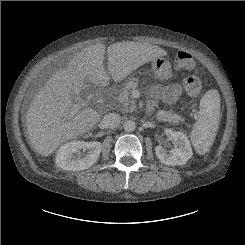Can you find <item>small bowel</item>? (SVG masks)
Returning a JSON list of instances; mask_svg holds the SVG:
<instances>
[{
    "instance_id": "obj_1",
    "label": "small bowel",
    "mask_w": 245,
    "mask_h": 245,
    "mask_svg": "<svg viewBox=\"0 0 245 245\" xmlns=\"http://www.w3.org/2000/svg\"><path fill=\"white\" fill-rule=\"evenodd\" d=\"M153 93L156 97H159L165 104L173 103L181 93V87L179 84H173L171 86H162L155 84L153 86Z\"/></svg>"
}]
</instances>
